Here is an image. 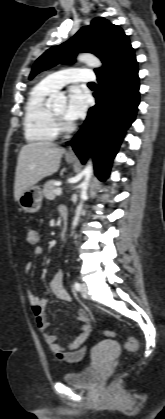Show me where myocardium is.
<instances>
[{
  "label": "myocardium",
  "mask_w": 165,
  "mask_h": 419,
  "mask_svg": "<svg viewBox=\"0 0 165 419\" xmlns=\"http://www.w3.org/2000/svg\"><path fill=\"white\" fill-rule=\"evenodd\" d=\"M52 116L55 120V123L57 125V128H59L62 131H67L69 129V127L66 125L64 118L60 115H58L57 113H55L54 110H52Z\"/></svg>",
  "instance_id": "obj_1"
}]
</instances>
